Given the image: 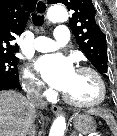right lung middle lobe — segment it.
Returning <instances> with one entry per match:
<instances>
[{"label":"right lung middle lobe","mask_w":117,"mask_h":136,"mask_svg":"<svg viewBox=\"0 0 117 136\" xmlns=\"http://www.w3.org/2000/svg\"><path fill=\"white\" fill-rule=\"evenodd\" d=\"M18 62L14 55H0V77H19Z\"/></svg>","instance_id":"obj_1"}]
</instances>
